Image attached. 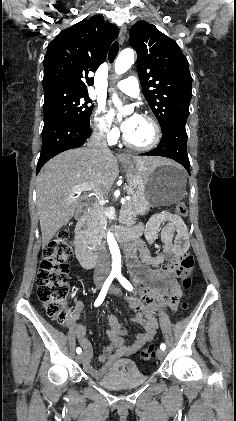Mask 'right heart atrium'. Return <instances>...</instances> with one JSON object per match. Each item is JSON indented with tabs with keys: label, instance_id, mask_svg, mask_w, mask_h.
Returning <instances> with one entry per match:
<instances>
[{
	"label": "right heart atrium",
	"instance_id": "d8ad5b80",
	"mask_svg": "<svg viewBox=\"0 0 236 421\" xmlns=\"http://www.w3.org/2000/svg\"><path fill=\"white\" fill-rule=\"evenodd\" d=\"M93 130L100 139L107 142L114 141L118 136L117 129L112 125L109 115L101 106L93 112Z\"/></svg>",
	"mask_w": 236,
	"mask_h": 421
}]
</instances>
